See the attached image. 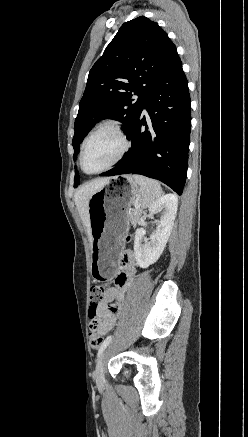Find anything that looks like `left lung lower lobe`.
Segmentation results:
<instances>
[{
  "label": "left lung lower lobe",
  "instance_id": "1",
  "mask_svg": "<svg viewBox=\"0 0 248 437\" xmlns=\"http://www.w3.org/2000/svg\"><path fill=\"white\" fill-rule=\"evenodd\" d=\"M143 109L148 111V122L141 115ZM190 111L188 82L177 57L145 97L127 135L132 141L130 151L101 176L140 174L165 183L181 195L188 168Z\"/></svg>",
  "mask_w": 248,
  "mask_h": 437
}]
</instances>
